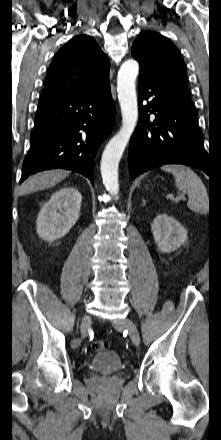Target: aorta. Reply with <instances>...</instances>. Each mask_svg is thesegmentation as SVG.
<instances>
[{
	"label": "aorta",
	"instance_id": "762f6f07",
	"mask_svg": "<svg viewBox=\"0 0 221 440\" xmlns=\"http://www.w3.org/2000/svg\"><path fill=\"white\" fill-rule=\"evenodd\" d=\"M138 73V62L129 59L121 65L117 76L122 125L106 145L100 167L103 183L112 195H117L119 192L118 165L138 121V102L135 88Z\"/></svg>",
	"mask_w": 221,
	"mask_h": 440
}]
</instances>
